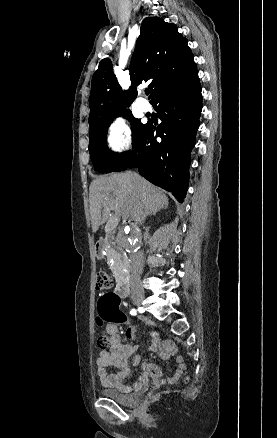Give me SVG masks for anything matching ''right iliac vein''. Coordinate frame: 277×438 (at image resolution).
Segmentation results:
<instances>
[{
    "label": "right iliac vein",
    "instance_id": "right-iliac-vein-1",
    "mask_svg": "<svg viewBox=\"0 0 277 438\" xmlns=\"http://www.w3.org/2000/svg\"><path fill=\"white\" fill-rule=\"evenodd\" d=\"M143 300H144V297L142 295H137V296L134 297V303L137 306H141L142 303H143Z\"/></svg>",
    "mask_w": 277,
    "mask_h": 438
}]
</instances>
